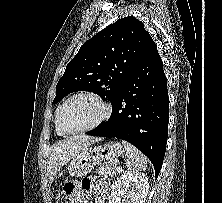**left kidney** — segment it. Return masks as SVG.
<instances>
[{"label":"left kidney","mask_w":222,"mask_h":203,"mask_svg":"<svg viewBox=\"0 0 222 203\" xmlns=\"http://www.w3.org/2000/svg\"><path fill=\"white\" fill-rule=\"evenodd\" d=\"M148 191L149 184L145 174L126 172L113 184L109 203H144Z\"/></svg>","instance_id":"obj_1"}]
</instances>
